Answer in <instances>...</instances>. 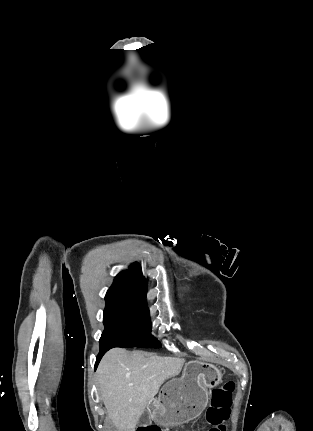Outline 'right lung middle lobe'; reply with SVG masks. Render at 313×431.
Wrapping results in <instances>:
<instances>
[{"label": "right lung middle lobe", "instance_id": "dd1d6c3e", "mask_svg": "<svg viewBox=\"0 0 313 431\" xmlns=\"http://www.w3.org/2000/svg\"><path fill=\"white\" fill-rule=\"evenodd\" d=\"M104 331L100 349L114 347L158 348L159 342L151 334V321L146 302L120 297H105Z\"/></svg>", "mask_w": 313, "mask_h": 431}]
</instances>
